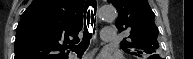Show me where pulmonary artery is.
<instances>
[{
  "instance_id": "e3ab8cb5",
  "label": "pulmonary artery",
  "mask_w": 193,
  "mask_h": 59,
  "mask_svg": "<svg viewBox=\"0 0 193 59\" xmlns=\"http://www.w3.org/2000/svg\"><path fill=\"white\" fill-rule=\"evenodd\" d=\"M113 28L112 27H105L103 29V34H102V39L106 42H110V41H114V32H113Z\"/></svg>"
}]
</instances>
